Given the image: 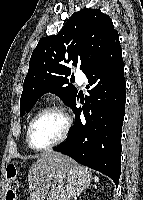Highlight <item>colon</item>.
<instances>
[{"label":"colon","mask_w":143,"mask_h":200,"mask_svg":"<svg viewBox=\"0 0 143 200\" xmlns=\"http://www.w3.org/2000/svg\"><path fill=\"white\" fill-rule=\"evenodd\" d=\"M18 188L17 170L14 165H9L6 170L5 191L6 200H16V191Z\"/></svg>","instance_id":"obj_1"}]
</instances>
